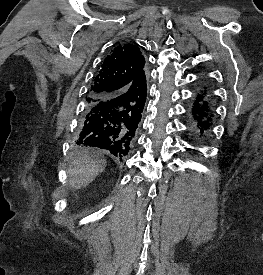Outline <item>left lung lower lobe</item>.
I'll return each instance as SVG.
<instances>
[{"instance_id": "obj_1", "label": "left lung lower lobe", "mask_w": 263, "mask_h": 275, "mask_svg": "<svg viewBox=\"0 0 263 275\" xmlns=\"http://www.w3.org/2000/svg\"><path fill=\"white\" fill-rule=\"evenodd\" d=\"M213 102L208 86L200 87L191 109V127L197 136H206L211 128Z\"/></svg>"}]
</instances>
